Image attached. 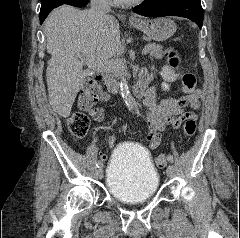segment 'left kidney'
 <instances>
[{"mask_svg": "<svg viewBox=\"0 0 240 238\" xmlns=\"http://www.w3.org/2000/svg\"><path fill=\"white\" fill-rule=\"evenodd\" d=\"M161 77L166 82H174L177 79V75L175 74L174 70L171 66L165 65L162 68V71L160 72ZM164 89H168L169 86L167 84H163Z\"/></svg>", "mask_w": 240, "mask_h": 238, "instance_id": "left-kidney-1", "label": "left kidney"}]
</instances>
